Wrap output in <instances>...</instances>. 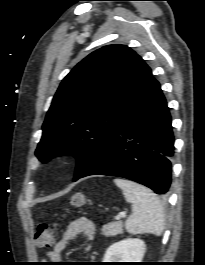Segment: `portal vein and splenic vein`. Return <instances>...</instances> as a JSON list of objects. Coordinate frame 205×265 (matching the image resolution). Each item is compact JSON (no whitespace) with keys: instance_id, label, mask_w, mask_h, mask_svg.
Here are the masks:
<instances>
[{"instance_id":"1","label":"portal vein and splenic vein","mask_w":205,"mask_h":265,"mask_svg":"<svg viewBox=\"0 0 205 265\" xmlns=\"http://www.w3.org/2000/svg\"><path fill=\"white\" fill-rule=\"evenodd\" d=\"M125 216H126L125 214H120V215L116 216V220H120V218L125 217Z\"/></svg>"}]
</instances>
